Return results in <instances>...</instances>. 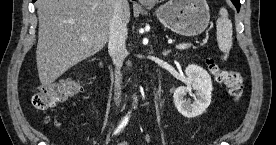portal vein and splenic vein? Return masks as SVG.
<instances>
[{
    "mask_svg": "<svg viewBox=\"0 0 276 145\" xmlns=\"http://www.w3.org/2000/svg\"><path fill=\"white\" fill-rule=\"evenodd\" d=\"M86 39V37L84 36V37H82V40H85ZM191 46V44L190 43H183V44H179V45H177L176 46V48L177 49H179V50H184V49H187V48H189Z\"/></svg>",
    "mask_w": 276,
    "mask_h": 145,
    "instance_id": "obj_1",
    "label": "portal vein and splenic vein"
}]
</instances>
